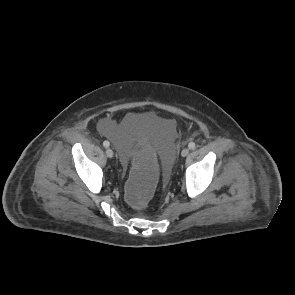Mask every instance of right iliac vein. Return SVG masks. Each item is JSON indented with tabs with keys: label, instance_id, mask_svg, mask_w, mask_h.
<instances>
[{
	"label": "right iliac vein",
	"instance_id": "right-iliac-vein-1",
	"mask_svg": "<svg viewBox=\"0 0 295 295\" xmlns=\"http://www.w3.org/2000/svg\"><path fill=\"white\" fill-rule=\"evenodd\" d=\"M106 155L108 158H112L113 157V151L111 148H107L106 149Z\"/></svg>",
	"mask_w": 295,
	"mask_h": 295
}]
</instances>
